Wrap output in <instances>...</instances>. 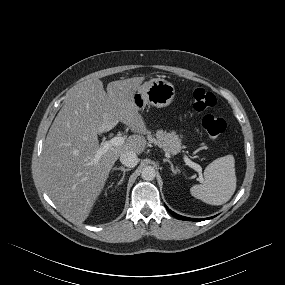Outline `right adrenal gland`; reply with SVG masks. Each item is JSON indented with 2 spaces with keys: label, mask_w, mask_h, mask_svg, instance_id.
Returning a JSON list of instances; mask_svg holds the SVG:
<instances>
[{
  "label": "right adrenal gland",
  "mask_w": 285,
  "mask_h": 285,
  "mask_svg": "<svg viewBox=\"0 0 285 285\" xmlns=\"http://www.w3.org/2000/svg\"><path fill=\"white\" fill-rule=\"evenodd\" d=\"M114 170H120L123 172L122 178L120 179V181L117 184V186H119L123 182L126 172L130 171L131 169L130 168H124V167H118V168L115 167Z\"/></svg>",
  "instance_id": "1"
}]
</instances>
